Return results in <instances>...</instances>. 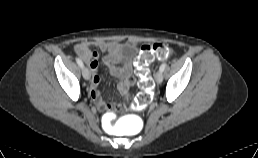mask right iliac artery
Masks as SVG:
<instances>
[{
    "label": "right iliac artery",
    "mask_w": 258,
    "mask_h": 158,
    "mask_svg": "<svg viewBox=\"0 0 258 158\" xmlns=\"http://www.w3.org/2000/svg\"><path fill=\"white\" fill-rule=\"evenodd\" d=\"M76 62H77V64L81 67V68H83V62H82V60L80 59V58H76Z\"/></svg>",
    "instance_id": "1"
}]
</instances>
